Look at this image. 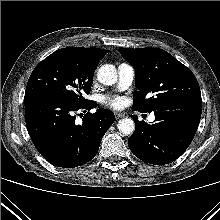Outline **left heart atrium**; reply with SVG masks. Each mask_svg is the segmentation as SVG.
Here are the masks:
<instances>
[{
    "label": "left heart atrium",
    "instance_id": "obj_1",
    "mask_svg": "<svg viewBox=\"0 0 220 220\" xmlns=\"http://www.w3.org/2000/svg\"><path fill=\"white\" fill-rule=\"evenodd\" d=\"M105 102L110 106L119 107L122 105L123 99L120 97L108 98V99H105Z\"/></svg>",
    "mask_w": 220,
    "mask_h": 220
}]
</instances>
